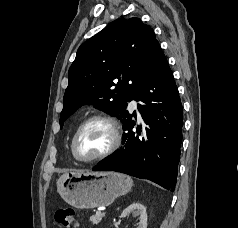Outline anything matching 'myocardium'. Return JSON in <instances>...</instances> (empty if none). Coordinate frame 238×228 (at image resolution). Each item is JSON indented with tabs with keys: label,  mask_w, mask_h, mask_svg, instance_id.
Segmentation results:
<instances>
[{
	"label": "myocardium",
	"mask_w": 238,
	"mask_h": 228,
	"mask_svg": "<svg viewBox=\"0 0 238 228\" xmlns=\"http://www.w3.org/2000/svg\"><path fill=\"white\" fill-rule=\"evenodd\" d=\"M95 121L103 122L109 126V128L112 132V141H111L110 145L108 146V148L105 151H103L102 153H100L99 155L94 156L92 158H88V159L80 158L76 152L77 139H78L81 131L87 125H89ZM120 144H121V132H120V127H119V124L117 123V121L109 115L102 114V113H96V114L88 116L78 125V127L72 137V140H71V151H72L73 157L77 161L82 162V163H93V162L103 160V159L107 158L108 156H110L111 154H113L119 148Z\"/></svg>",
	"instance_id": "1"
}]
</instances>
